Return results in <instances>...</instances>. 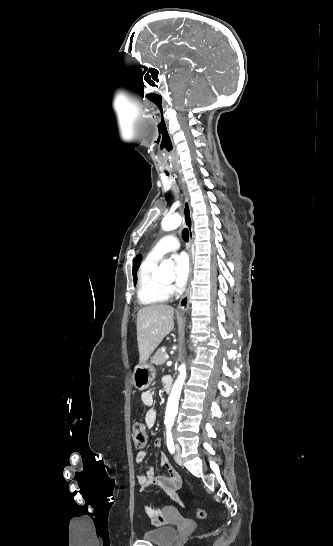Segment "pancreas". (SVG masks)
<instances>
[{
  "label": "pancreas",
  "instance_id": "cf45deb5",
  "mask_svg": "<svg viewBox=\"0 0 333 546\" xmlns=\"http://www.w3.org/2000/svg\"><path fill=\"white\" fill-rule=\"evenodd\" d=\"M165 354L163 348H159L152 357L151 362L159 366L164 364L166 362Z\"/></svg>",
  "mask_w": 333,
  "mask_h": 546
}]
</instances>
